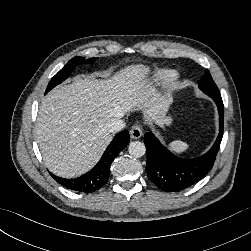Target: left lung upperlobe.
<instances>
[{
    "label": "left lung upper lobe",
    "instance_id": "1",
    "mask_svg": "<svg viewBox=\"0 0 251 251\" xmlns=\"http://www.w3.org/2000/svg\"><path fill=\"white\" fill-rule=\"evenodd\" d=\"M199 88L209 96H220V92L208 70L205 71L204 75L200 79Z\"/></svg>",
    "mask_w": 251,
    "mask_h": 251
}]
</instances>
